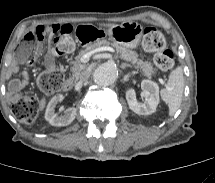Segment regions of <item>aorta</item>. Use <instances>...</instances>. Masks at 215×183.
Wrapping results in <instances>:
<instances>
[{"instance_id": "obj_1", "label": "aorta", "mask_w": 215, "mask_h": 183, "mask_svg": "<svg viewBox=\"0 0 215 183\" xmlns=\"http://www.w3.org/2000/svg\"><path fill=\"white\" fill-rule=\"evenodd\" d=\"M119 75L117 66L112 62L100 64L93 72L94 82L101 86L113 84Z\"/></svg>"}]
</instances>
